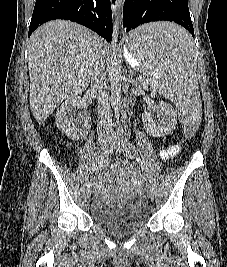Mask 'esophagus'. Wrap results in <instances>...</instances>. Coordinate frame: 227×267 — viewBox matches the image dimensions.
<instances>
[{
  "label": "esophagus",
  "mask_w": 227,
  "mask_h": 267,
  "mask_svg": "<svg viewBox=\"0 0 227 267\" xmlns=\"http://www.w3.org/2000/svg\"><path fill=\"white\" fill-rule=\"evenodd\" d=\"M121 3H122L121 0H111V7L114 16H116L119 13Z\"/></svg>",
  "instance_id": "obj_1"
}]
</instances>
